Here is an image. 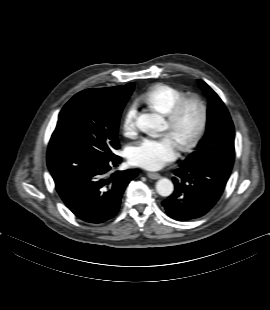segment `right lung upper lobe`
Masks as SVG:
<instances>
[{"label":"right lung upper lobe","mask_w":270,"mask_h":310,"mask_svg":"<svg viewBox=\"0 0 270 310\" xmlns=\"http://www.w3.org/2000/svg\"><path fill=\"white\" fill-rule=\"evenodd\" d=\"M133 87H134V83H129L123 86H116V87L102 88V89H104L108 94L112 95L113 97H116L120 100H126L131 95L133 91Z\"/></svg>","instance_id":"cb5924a9"}]
</instances>
